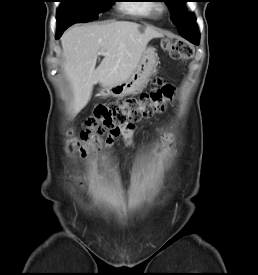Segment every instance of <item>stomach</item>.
<instances>
[{"mask_svg":"<svg viewBox=\"0 0 258 275\" xmlns=\"http://www.w3.org/2000/svg\"><path fill=\"white\" fill-rule=\"evenodd\" d=\"M156 65L157 54L155 49L153 47H148L144 50L141 59L132 74L126 80L117 83L116 85L103 87L99 92V96L124 97L139 92L156 69Z\"/></svg>","mask_w":258,"mask_h":275,"instance_id":"stomach-1","label":"stomach"}]
</instances>
